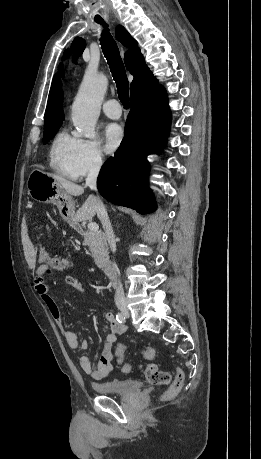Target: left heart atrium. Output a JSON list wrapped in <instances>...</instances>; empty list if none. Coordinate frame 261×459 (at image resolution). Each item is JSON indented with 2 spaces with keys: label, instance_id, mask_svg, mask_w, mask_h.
<instances>
[{
  "label": "left heart atrium",
  "instance_id": "39dd6f15",
  "mask_svg": "<svg viewBox=\"0 0 261 459\" xmlns=\"http://www.w3.org/2000/svg\"><path fill=\"white\" fill-rule=\"evenodd\" d=\"M104 148L107 153L114 152L123 140V130L120 125L110 123L103 130Z\"/></svg>",
  "mask_w": 261,
  "mask_h": 459
}]
</instances>
